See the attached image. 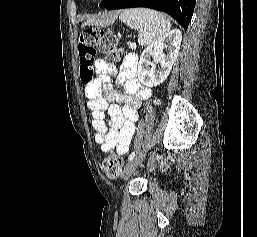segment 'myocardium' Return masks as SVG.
<instances>
[{
    "label": "myocardium",
    "instance_id": "myocardium-1",
    "mask_svg": "<svg viewBox=\"0 0 257 237\" xmlns=\"http://www.w3.org/2000/svg\"><path fill=\"white\" fill-rule=\"evenodd\" d=\"M88 1H90V2H96V1H99V0H88Z\"/></svg>",
    "mask_w": 257,
    "mask_h": 237
}]
</instances>
